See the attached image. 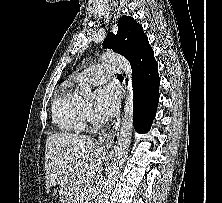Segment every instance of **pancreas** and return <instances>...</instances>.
<instances>
[{"instance_id": "1", "label": "pancreas", "mask_w": 222, "mask_h": 203, "mask_svg": "<svg viewBox=\"0 0 222 203\" xmlns=\"http://www.w3.org/2000/svg\"><path fill=\"white\" fill-rule=\"evenodd\" d=\"M85 182H86V180H82L76 184L74 191H73L72 198L78 199V198L82 197V194L85 192V189L83 187ZM93 196H94V192H88V191L86 192V200H91L93 198ZM84 203H87V202H84Z\"/></svg>"}]
</instances>
